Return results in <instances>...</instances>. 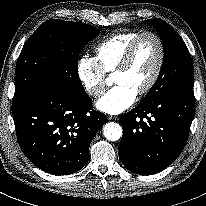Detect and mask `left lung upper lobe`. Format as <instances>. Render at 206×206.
<instances>
[{"label":"left lung upper lobe","mask_w":206,"mask_h":206,"mask_svg":"<svg viewBox=\"0 0 206 206\" xmlns=\"http://www.w3.org/2000/svg\"><path fill=\"white\" fill-rule=\"evenodd\" d=\"M144 22L159 31L164 49V61L157 81L141 103H148L176 92H193V61L182 38L161 19L154 18Z\"/></svg>","instance_id":"obj_1"}]
</instances>
